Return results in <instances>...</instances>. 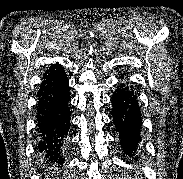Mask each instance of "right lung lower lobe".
<instances>
[{
  "instance_id": "obj_1",
  "label": "right lung lower lobe",
  "mask_w": 183,
  "mask_h": 179,
  "mask_svg": "<svg viewBox=\"0 0 183 179\" xmlns=\"http://www.w3.org/2000/svg\"><path fill=\"white\" fill-rule=\"evenodd\" d=\"M37 97L36 150L48 161L62 165L71 114L68 78L61 65H51L45 71Z\"/></svg>"
}]
</instances>
